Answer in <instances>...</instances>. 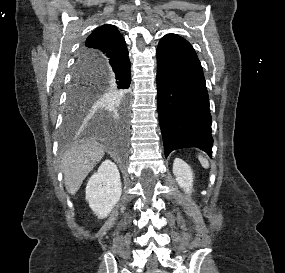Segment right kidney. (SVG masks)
Returning <instances> with one entry per match:
<instances>
[{"mask_svg":"<svg viewBox=\"0 0 285 273\" xmlns=\"http://www.w3.org/2000/svg\"><path fill=\"white\" fill-rule=\"evenodd\" d=\"M121 193L119 170L113 162L105 160L88 181L86 201L98 218L102 219L112 211Z\"/></svg>","mask_w":285,"mask_h":273,"instance_id":"obj_1","label":"right kidney"}]
</instances>
